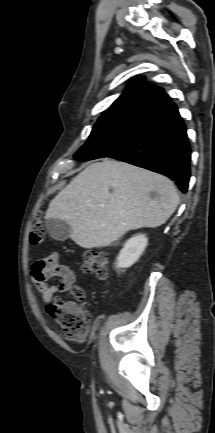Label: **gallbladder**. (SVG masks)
<instances>
[{"mask_svg": "<svg viewBox=\"0 0 215 433\" xmlns=\"http://www.w3.org/2000/svg\"><path fill=\"white\" fill-rule=\"evenodd\" d=\"M49 235L57 241H65L70 237L71 227L68 223L59 219H49L46 222Z\"/></svg>", "mask_w": 215, "mask_h": 433, "instance_id": "obj_1", "label": "gallbladder"}]
</instances>
